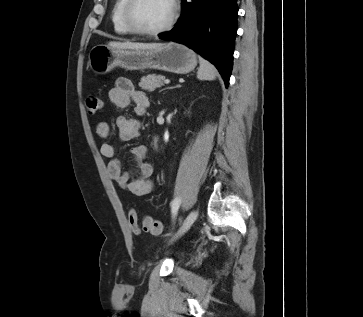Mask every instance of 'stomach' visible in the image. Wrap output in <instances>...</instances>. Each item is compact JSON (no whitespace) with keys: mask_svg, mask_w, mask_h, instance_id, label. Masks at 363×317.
<instances>
[{"mask_svg":"<svg viewBox=\"0 0 363 317\" xmlns=\"http://www.w3.org/2000/svg\"><path fill=\"white\" fill-rule=\"evenodd\" d=\"M88 64L97 75H104L115 67L186 74L196 67L197 57L191 49L176 42L155 49H112L106 45H96L89 53Z\"/></svg>","mask_w":363,"mask_h":317,"instance_id":"obj_1","label":"stomach"}]
</instances>
